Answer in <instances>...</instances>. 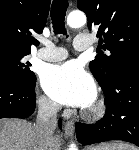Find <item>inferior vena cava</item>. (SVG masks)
Returning a JSON list of instances; mask_svg holds the SVG:
<instances>
[{
    "label": "inferior vena cava",
    "instance_id": "602c4592",
    "mask_svg": "<svg viewBox=\"0 0 139 150\" xmlns=\"http://www.w3.org/2000/svg\"><path fill=\"white\" fill-rule=\"evenodd\" d=\"M59 105L47 100L39 101V109L37 114L34 130L39 142V150H54L55 136L54 132L57 128V112Z\"/></svg>",
    "mask_w": 139,
    "mask_h": 150
}]
</instances>
